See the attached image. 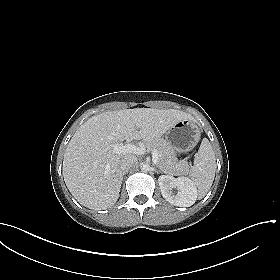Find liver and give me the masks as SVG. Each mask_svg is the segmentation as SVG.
Returning <instances> with one entry per match:
<instances>
[{
  "instance_id": "1",
  "label": "liver",
  "mask_w": 280,
  "mask_h": 280,
  "mask_svg": "<svg viewBox=\"0 0 280 280\" xmlns=\"http://www.w3.org/2000/svg\"><path fill=\"white\" fill-rule=\"evenodd\" d=\"M193 117L176 109L134 108L106 111L89 118L67 145L63 176L67 188L83 206L104 210L112 207L120 192V162L126 154L110 145L134 139H160L175 123Z\"/></svg>"
}]
</instances>
